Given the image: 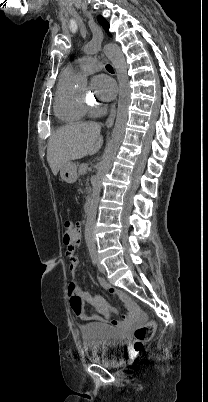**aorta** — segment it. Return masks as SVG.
Masks as SVG:
<instances>
[{"label":"aorta","mask_w":208,"mask_h":402,"mask_svg":"<svg viewBox=\"0 0 208 402\" xmlns=\"http://www.w3.org/2000/svg\"><path fill=\"white\" fill-rule=\"evenodd\" d=\"M104 54L110 62H112L115 72L117 74V80L119 82V100L118 110L116 116V122L112 134V140L108 144V148L105 150L103 168L95 174V180L92 186V200L89 210V214L85 222L84 239L83 242L90 252L91 257L96 258L99 255L97 244L94 241L95 229H96V212L99 204V197L103 192V177L107 174L112 166V162L118 152V148L123 140L127 118L128 108L130 104V84L127 76V66L119 46L116 44H106L104 48Z\"/></svg>","instance_id":"aorta-1"}]
</instances>
